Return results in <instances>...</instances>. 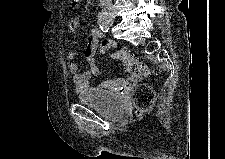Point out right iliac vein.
<instances>
[{"mask_svg":"<svg viewBox=\"0 0 225 159\" xmlns=\"http://www.w3.org/2000/svg\"><path fill=\"white\" fill-rule=\"evenodd\" d=\"M106 18L107 20L111 21L112 23L114 22L115 19V14L112 11H106Z\"/></svg>","mask_w":225,"mask_h":159,"instance_id":"1","label":"right iliac vein"}]
</instances>
